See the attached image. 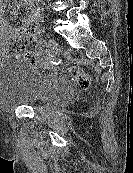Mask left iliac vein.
<instances>
[{
  "label": "left iliac vein",
  "instance_id": "1",
  "mask_svg": "<svg viewBox=\"0 0 133 173\" xmlns=\"http://www.w3.org/2000/svg\"><path fill=\"white\" fill-rule=\"evenodd\" d=\"M48 50L50 55H55L59 50L58 42L52 37L48 41Z\"/></svg>",
  "mask_w": 133,
  "mask_h": 173
}]
</instances>
